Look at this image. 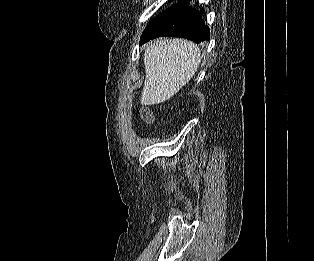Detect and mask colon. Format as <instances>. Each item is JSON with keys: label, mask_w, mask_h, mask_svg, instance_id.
<instances>
[{"label": "colon", "mask_w": 314, "mask_h": 261, "mask_svg": "<svg viewBox=\"0 0 314 261\" xmlns=\"http://www.w3.org/2000/svg\"><path fill=\"white\" fill-rule=\"evenodd\" d=\"M139 115L141 120L145 123H150L153 119L152 113L147 109L141 110Z\"/></svg>", "instance_id": "obj_1"}]
</instances>
